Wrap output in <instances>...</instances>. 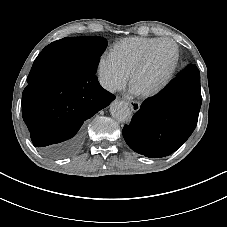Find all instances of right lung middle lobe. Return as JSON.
<instances>
[{"label":"right lung middle lobe","mask_w":227,"mask_h":227,"mask_svg":"<svg viewBox=\"0 0 227 227\" xmlns=\"http://www.w3.org/2000/svg\"><path fill=\"white\" fill-rule=\"evenodd\" d=\"M68 41L69 47L60 55L59 65L74 75L92 78L95 76L100 56L107 47V41L99 36L63 38ZM45 78L44 72L32 66L27 78L31 83Z\"/></svg>","instance_id":"dd1d6c3e"}]
</instances>
